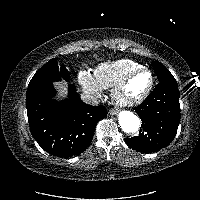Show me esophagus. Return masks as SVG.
<instances>
[{"mask_svg": "<svg viewBox=\"0 0 200 200\" xmlns=\"http://www.w3.org/2000/svg\"><path fill=\"white\" fill-rule=\"evenodd\" d=\"M118 112H117V110L116 109H110L109 110V114L110 115H116Z\"/></svg>", "mask_w": 200, "mask_h": 200, "instance_id": "1", "label": "esophagus"}]
</instances>
